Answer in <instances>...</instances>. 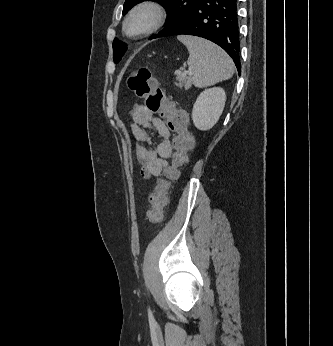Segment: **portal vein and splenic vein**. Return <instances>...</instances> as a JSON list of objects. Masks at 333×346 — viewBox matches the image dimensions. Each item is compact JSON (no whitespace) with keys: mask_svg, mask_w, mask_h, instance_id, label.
<instances>
[{"mask_svg":"<svg viewBox=\"0 0 333 346\" xmlns=\"http://www.w3.org/2000/svg\"><path fill=\"white\" fill-rule=\"evenodd\" d=\"M184 73H185V74H189V75H191V74H192V72H191L190 70L185 71Z\"/></svg>","mask_w":333,"mask_h":346,"instance_id":"obj_1","label":"portal vein and splenic vein"}]
</instances>
